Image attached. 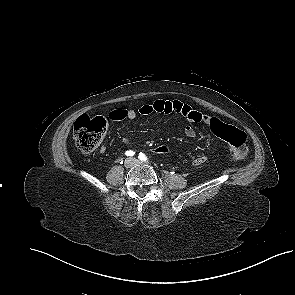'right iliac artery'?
<instances>
[{
	"instance_id": "right-iliac-artery-1",
	"label": "right iliac artery",
	"mask_w": 295,
	"mask_h": 295,
	"mask_svg": "<svg viewBox=\"0 0 295 295\" xmlns=\"http://www.w3.org/2000/svg\"><path fill=\"white\" fill-rule=\"evenodd\" d=\"M134 154H135V152L132 151V150H128V151L125 152L126 156H133Z\"/></svg>"
}]
</instances>
